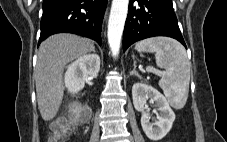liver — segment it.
<instances>
[{"label":"liver","mask_w":227,"mask_h":142,"mask_svg":"<svg viewBox=\"0 0 227 142\" xmlns=\"http://www.w3.org/2000/svg\"><path fill=\"white\" fill-rule=\"evenodd\" d=\"M94 48L92 40L74 34H55L41 43L34 79L38 108L44 121L52 120L61 105L66 65Z\"/></svg>","instance_id":"liver-1"}]
</instances>
